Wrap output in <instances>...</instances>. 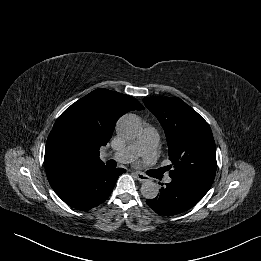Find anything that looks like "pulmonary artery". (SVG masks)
Returning a JSON list of instances; mask_svg holds the SVG:
<instances>
[{
	"instance_id": "obj_1",
	"label": "pulmonary artery",
	"mask_w": 261,
	"mask_h": 261,
	"mask_svg": "<svg viewBox=\"0 0 261 261\" xmlns=\"http://www.w3.org/2000/svg\"><path fill=\"white\" fill-rule=\"evenodd\" d=\"M158 141L159 135L156 129L146 127L133 143L113 154L104 155V158H113L120 163H129L142 156L147 161L154 162ZM171 181V177L167 176L165 178L166 183Z\"/></svg>"
}]
</instances>
